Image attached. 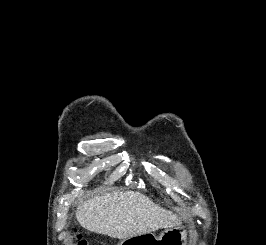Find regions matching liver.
Here are the masks:
<instances>
[{"label": "liver", "instance_id": "6515ba94", "mask_svg": "<svg viewBox=\"0 0 266 245\" xmlns=\"http://www.w3.org/2000/svg\"><path fill=\"white\" fill-rule=\"evenodd\" d=\"M76 219L87 231L128 239L181 225L179 217L155 205L139 191H112L81 203Z\"/></svg>", "mask_w": 266, "mask_h": 245}]
</instances>
